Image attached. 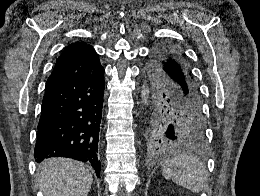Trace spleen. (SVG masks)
I'll return each mask as SVG.
<instances>
[{"label":"spleen","mask_w":260,"mask_h":196,"mask_svg":"<svg viewBox=\"0 0 260 196\" xmlns=\"http://www.w3.org/2000/svg\"><path fill=\"white\" fill-rule=\"evenodd\" d=\"M162 174L166 180H172L175 184L197 194L208 188L205 164L199 162L197 158L179 154L172 160H164Z\"/></svg>","instance_id":"1"}]
</instances>
